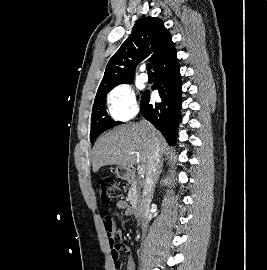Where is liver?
Returning <instances> with one entry per match:
<instances>
[{
	"label": "liver",
	"instance_id": "obj_1",
	"mask_svg": "<svg viewBox=\"0 0 267 270\" xmlns=\"http://www.w3.org/2000/svg\"><path fill=\"white\" fill-rule=\"evenodd\" d=\"M154 143L159 147L160 156L168 149L164 137L153 126L147 127L141 122L117 126L97 140L93 151V171L107 165L130 169L137 161L147 170Z\"/></svg>",
	"mask_w": 267,
	"mask_h": 270
}]
</instances>
